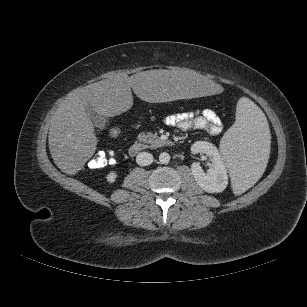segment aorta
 <instances>
[{"mask_svg":"<svg viewBox=\"0 0 307 307\" xmlns=\"http://www.w3.org/2000/svg\"><path fill=\"white\" fill-rule=\"evenodd\" d=\"M159 161L161 164H167L170 161V155L167 152H162L159 155Z\"/></svg>","mask_w":307,"mask_h":307,"instance_id":"1","label":"aorta"}]
</instances>
